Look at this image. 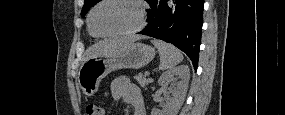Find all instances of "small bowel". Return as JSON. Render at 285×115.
<instances>
[{
	"label": "small bowel",
	"mask_w": 285,
	"mask_h": 115,
	"mask_svg": "<svg viewBox=\"0 0 285 115\" xmlns=\"http://www.w3.org/2000/svg\"><path fill=\"white\" fill-rule=\"evenodd\" d=\"M115 100H123L132 106L134 115H146V108L140 89L126 77L115 78L111 83Z\"/></svg>",
	"instance_id": "1"
}]
</instances>
